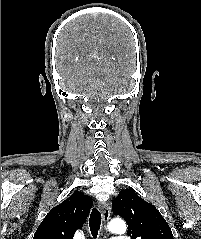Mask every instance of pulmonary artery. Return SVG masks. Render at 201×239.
<instances>
[{
	"mask_svg": "<svg viewBox=\"0 0 201 239\" xmlns=\"http://www.w3.org/2000/svg\"><path fill=\"white\" fill-rule=\"evenodd\" d=\"M111 239H130L128 236H115L112 237Z\"/></svg>",
	"mask_w": 201,
	"mask_h": 239,
	"instance_id": "pulmonary-artery-1",
	"label": "pulmonary artery"
}]
</instances>
